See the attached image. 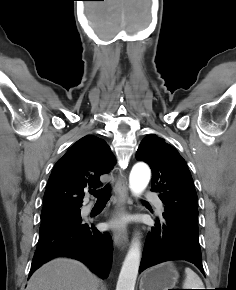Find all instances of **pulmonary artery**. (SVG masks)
Segmentation results:
<instances>
[{
    "instance_id": "e3ab8cb5",
    "label": "pulmonary artery",
    "mask_w": 236,
    "mask_h": 290,
    "mask_svg": "<svg viewBox=\"0 0 236 290\" xmlns=\"http://www.w3.org/2000/svg\"><path fill=\"white\" fill-rule=\"evenodd\" d=\"M144 197H145V199H147V200L154 201L155 206L157 207V210H158L160 213L163 212V204H162V202H161L160 200L156 199V194H155L154 192H146V193L144 194ZM89 209H90V206H86V207L84 208V211H85V212H88Z\"/></svg>"
}]
</instances>
